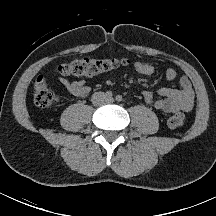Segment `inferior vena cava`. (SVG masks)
<instances>
[{"label":"inferior vena cava","instance_id":"inferior-vena-cava-1","mask_svg":"<svg viewBox=\"0 0 216 216\" xmlns=\"http://www.w3.org/2000/svg\"><path fill=\"white\" fill-rule=\"evenodd\" d=\"M92 103L94 106H101L107 103L106 95L103 92H95L92 95Z\"/></svg>","mask_w":216,"mask_h":216}]
</instances>
